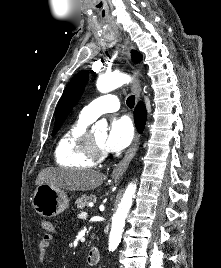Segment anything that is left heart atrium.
<instances>
[{"label":"left heart atrium","instance_id":"left-heart-atrium-1","mask_svg":"<svg viewBox=\"0 0 221 268\" xmlns=\"http://www.w3.org/2000/svg\"><path fill=\"white\" fill-rule=\"evenodd\" d=\"M133 126L126 116L111 121L103 147L110 152H118L126 148L133 139Z\"/></svg>","mask_w":221,"mask_h":268}]
</instances>
